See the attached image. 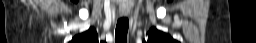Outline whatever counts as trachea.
<instances>
[{"mask_svg": "<svg viewBox=\"0 0 256 43\" xmlns=\"http://www.w3.org/2000/svg\"><path fill=\"white\" fill-rule=\"evenodd\" d=\"M129 28V20L123 16L117 21L115 29V43H127V33Z\"/></svg>", "mask_w": 256, "mask_h": 43, "instance_id": "obj_1", "label": "trachea"}]
</instances>
